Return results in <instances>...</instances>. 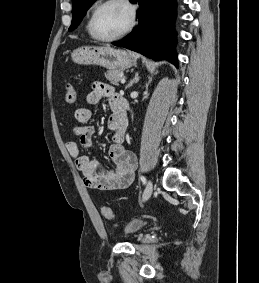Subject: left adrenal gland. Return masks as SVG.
Wrapping results in <instances>:
<instances>
[{
  "instance_id": "left-adrenal-gland-1",
  "label": "left adrenal gland",
  "mask_w": 259,
  "mask_h": 283,
  "mask_svg": "<svg viewBox=\"0 0 259 283\" xmlns=\"http://www.w3.org/2000/svg\"><path fill=\"white\" fill-rule=\"evenodd\" d=\"M140 77L138 72L135 73V77L126 85L125 89H128L132 87L133 84L137 83L139 81Z\"/></svg>"
}]
</instances>
